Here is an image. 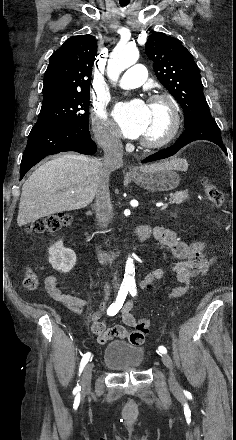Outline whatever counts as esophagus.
<instances>
[{
    "label": "esophagus",
    "mask_w": 236,
    "mask_h": 440,
    "mask_svg": "<svg viewBox=\"0 0 236 440\" xmlns=\"http://www.w3.org/2000/svg\"><path fill=\"white\" fill-rule=\"evenodd\" d=\"M133 173V170H130V174H132Z\"/></svg>",
    "instance_id": "esophagus-1"
}]
</instances>
